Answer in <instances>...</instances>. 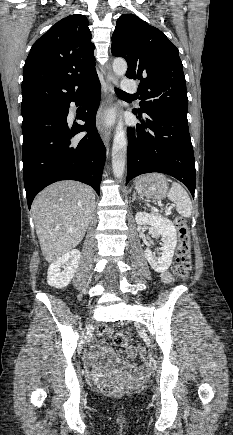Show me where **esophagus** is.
Masks as SVG:
<instances>
[{
  "label": "esophagus",
  "mask_w": 233,
  "mask_h": 435,
  "mask_svg": "<svg viewBox=\"0 0 233 435\" xmlns=\"http://www.w3.org/2000/svg\"><path fill=\"white\" fill-rule=\"evenodd\" d=\"M116 82H117V78L114 76V74L111 72L110 68L108 67V72L106 73L105 76V83H106L105 102L98 113V130L105 145H108V141L111 137V130L109 127H107L104 124V119H105L107 108L113 102V95H114L113 85Z\"/></svg>",
  "instance_id": "obj_1"
}]
</instances>
